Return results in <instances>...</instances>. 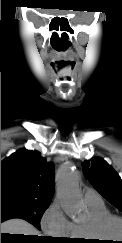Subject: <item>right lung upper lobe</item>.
Here are the masks:
<instances>
[{
    "instance_id": "cb5924a9",
    "label": "right lung upper lobe",
    "mask_w": 122,
    "mask_h": 243,
    "mask_svg": "<svg viewBox=\"0 0 122 243\" xmlns=\"http://www.w3.org/2000/svg\"><path fill=\"white\" fill-rule=\"evenodd\" d=\"M54 168L38 151L20 149L1 162V196L16 195L50 201Z\"/></svg>"
}]
</instances>
